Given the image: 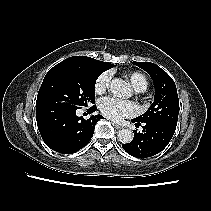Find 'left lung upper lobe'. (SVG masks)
Segmentation results:
<instances>
[{
  "label": "left lung upper lobe",
  "mask_w": 211,
  "mask_h": 211,
  "mask_svg": "<svg viewBox=\"0 0 211 211\" xmlns=\"http://www.w3.org/2000/svg\"><path fill=\"white\" fill-rule=\"evenodd\" d=\"M133 64L144 69L151 76L155 86L154 102L144 114L135 120L158 123L175 131L179 114V99L174 81L154 63Z\"/></svg>",
  "instance_id": "obj_1"
}]
</instances>
